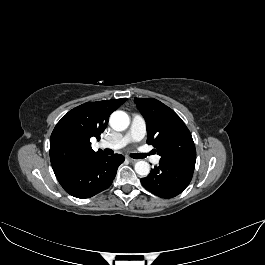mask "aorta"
<instances>
[{
    "label": "aorta",
    "instance_id": "aorta-1",
    "mask_svg": "<svg viewBox=\"0 0 265 265\" xmlns=\"http://www.w3.org/2000/svg\"><path fill=\"white\" fill-rule=\"evenodd\" d=\"M109 122L114 130L123 131L128 128L130 118L126 112L117 110L111 114ZM134 169L140 176H147L150 173L149 163L143 160L137 161Z\"/></svg>",
    "mask_w": 265,
    "mask_h": 265
}]
</instances>
